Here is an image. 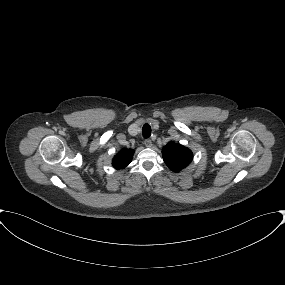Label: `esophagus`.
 I'll return each mask as SVG.
<instances>
[{"instance_id": "esophagus-1", "label": "esophagus", "mask_w": 285, "mask_h": 285, "mask_svg": "<svg viewBox=\"0 0 285 285\" xmlns=\"http://www.w3.org/2000/svg\"><path fill=\"white\" fill-rule=\"evenodd\" d=\"M144 145L148 148L152 147V141L150 139H146L144 141Z\"/></svg>"}]
</instances>
